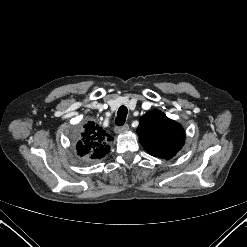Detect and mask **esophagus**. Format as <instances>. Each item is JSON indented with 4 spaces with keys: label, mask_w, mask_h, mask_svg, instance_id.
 Returning a JSON list of instances; mask_svg holds the SVG:
<instances>
[{
    "label": "esophagus",
    "mask_w": 247,
    "mask_h": 247,
    "mask_svg": "<svg viewBox=\"0 0 247 247\" xmlns=\"http://www.w3.org/2000/svg\"><path fill=\"white\" fill-rule=\"evenodd\" d=\"M128 130H129V125H128V124H125V125H123V126H121V127H116V128H115V132H116L117 134L124 133V132H126V131H128Z\"/></svg>",
    "instance_id": "esophagus-1"
}]
</instances>
